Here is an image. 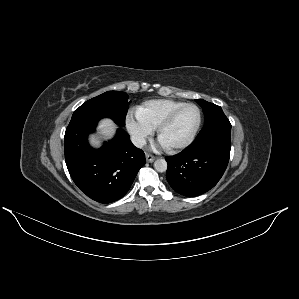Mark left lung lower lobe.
<instances>
[{"mask_svg": "<svg viewBox=\"0 0 299 299\" xmlns=\"http://www.w3.org/2000/svg\"><path fill=\"white\" fill-rule=\"evenodd\" d=\"M230 133L228 119L210 122L185 150L166 157V179L170 186L188 197L201 195L213 188L228 165Z\"/></svg>", "mask_w": 299, "mask_h": 299, "instance_id": "0a47b994", "label": "left lung lower lobe"}]
</instances>
